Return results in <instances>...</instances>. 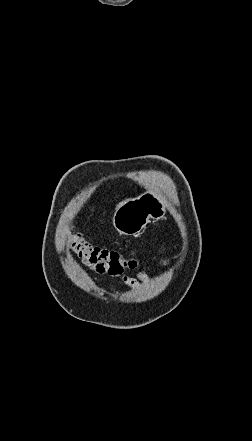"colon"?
Segmentation results:
<instances>
[{
  "mask_svg": "<svg viewBox=\"0 0 252 441\" xmlns=\"http://www.w3.org/2000/svg\"><path fill=\"white\" fill-rule=\"evenodd\" d=\"M72 249L91 269L98 273L120 275L124 270L135 268L138 264L133 257H126L116 250L90 244L80 234H73Z\"/></svg>",
  "mask_w": 252,
  "mask_h": 441,
  "instance_id": "5ec220e1",
  "label": "colon"
}]
</instances>
